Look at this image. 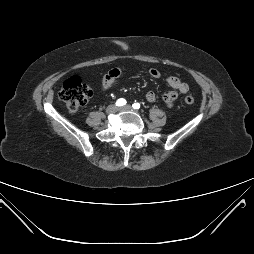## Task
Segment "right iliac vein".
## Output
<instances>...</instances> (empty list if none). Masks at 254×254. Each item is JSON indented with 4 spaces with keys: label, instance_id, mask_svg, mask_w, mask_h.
<instances>
[{
    "label": "right iliac vein",
    "instance_id": "obj_1",
    "mask_svg": "<svg viewBox=\"0 0 254 254\" xmlns=\"http://www.w3.org/2000/svg\"><path fill=\"white\" fill-rule=\"evenodd\" d=\"M118 111V107L116 105H109L107 108H106V113L107 114H113L115 112Z\"/></svg>",
    "mask_w": 254,
    "mask_h": 254
}]
</instances>
